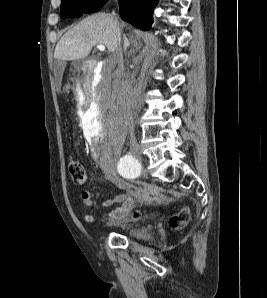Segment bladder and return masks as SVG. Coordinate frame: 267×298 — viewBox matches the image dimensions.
<instances>
[{
	"mask_svg": "<svg viewBox=\"0 0 267 298\" xmlns=\"http://www.w3.org/2000/svg\"><path fill=\"white\" fill-rule=\"evenodd\" d=\"M125 233L135 239H150L151 238V230L148 227H142L137 229H126Z\"/></svg>",
	"mask_w": 267,
	"mask_h": 298,
	"instance_id": "bladder-1",
	"label": "bladder"
}]
</instances>
